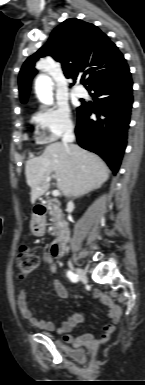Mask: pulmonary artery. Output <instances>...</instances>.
Segmentation results:
<instances>
[{"label": "pulmonary artery", "mask_w": 145, "mask_h": 385, "mask_svg": "<svg viewBox=\"0 0 145 385\" xmlns=\"http://www.w3.org/2000/svg\"><path fill=\"white\" fill-rule=\"evenodd\" d=\"M74 93H75V95L78 96V97H84V96L86 95V90H85V88L82 87V86H76V87L74 88Z\"/></svg>", "instance_id": "1"}]
</instances>
